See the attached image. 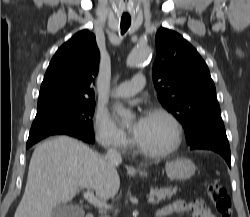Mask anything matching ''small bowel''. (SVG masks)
<instances>
[{
    "label": "small bowel",
    "mask_w": 250,
    "mask_h": 217,
    "mask_svg": "<svg viewBox=\"0 0 250 217\" xmlns=\"http://www.w3.org/2000/svg\"><path fill=\"white\" fill-rule=\"evenodd\" d=\"M158 213L160 217L184 213H190L193 217H215L206 207V204L202 199H196L192 202L177 199L159 210Z\"/></svg>",
    "instance_id": "obj_1"
}]
</instances>
